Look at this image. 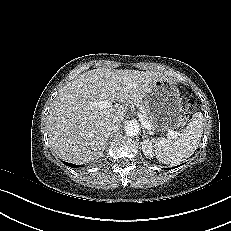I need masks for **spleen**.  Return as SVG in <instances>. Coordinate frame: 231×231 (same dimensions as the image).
Returning <instances> with one entry per match:
<instances>
[{
    "instance_id": "spleen-1",
    "label": "spleen",
    "mask_w": 231,
    "mask_h": 231,
    "mask_svg": "<svg viewBox=\"0 0 231 231\" xmlns=\"http://www.w3.org/2000/svg\"><path fill=\"white\" fill-rule=\"evenodd\" d=\"M203 134V115L197 112L179 135L155 141V154L164 164L176 165L189 158L197 149Z\"/></svg>"
}]
</instances>
